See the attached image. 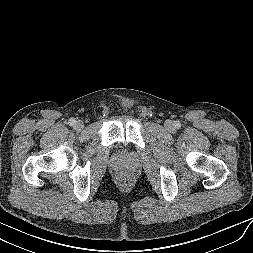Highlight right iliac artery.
<instances>
[{
  "label": "right iliac artery",
  "mask_w": 253,
  "mask_h": 253,
  "mask_svg": "<svg viewBox=\"0 0 253 253\" xmlns=\"http://www.w3.org/2000/svg\"><path fill=\"white\" fill-rule=\"evenodd\" d=\"M76 124V120L74 119V118H71L70 120H69V125L70 126H74Z\"/></svg>",
  "instance_id": "1"
}]
</instances>
